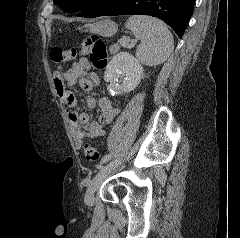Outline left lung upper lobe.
<instances>
[{"label":"left lung upper lobe","mask_w":240,"mask_h":238,"mask_svg":"<svg viewBox=\"0 0 240 238\" xmlns=\"http://www.w3.org/2000/svg\"><path fill=\"white\" fill-rule=\"evenodd\" d=\"M92 0H53L59 6L68 12L79 13L81 12Z\"/></svg>","instance_id":"5c2ea615"}]
</instances>
